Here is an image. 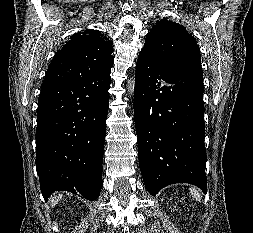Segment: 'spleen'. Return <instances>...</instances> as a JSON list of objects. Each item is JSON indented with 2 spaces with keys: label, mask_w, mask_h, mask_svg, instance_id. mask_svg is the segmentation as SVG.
I'll list each match as a JSON object with an SVG mask.
<instances>
[{
  "label": "spleen",
  "mask_w": 253,
  "mask_h": 233,
  "mask_svg": "<svg viewBox=\"0 0 253 233\" xmlns=\"http://www.w3.org/2000/svg\"><path fill=\"white\" fill-rule=\"evenodd\" d=\"M190 193H191V195H192L196 200H198V201L201 200V196H200V194H199V192H198L197 189H195V188H190Z\"/></svg>",
  "instance_id": "1"
}]
</instances>
